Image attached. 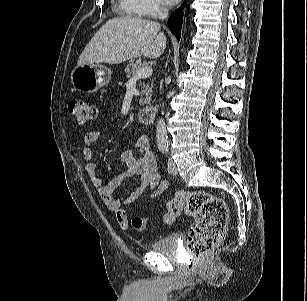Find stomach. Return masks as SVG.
I'll return each instance as SVG.
<instances>
[{"mask_svg":"<svg viewBox=\"0 0 307 301\" xmlns=\"http://www.w3.org/2000/svg\"><path fill=\"white\" fill-rule=\"evenodd\" d=\"M111 79L110 70L100 64L78 65L71 73V82L75 89L93 93L105 86Z\"/></svg>","mask_w":307,"mask_h":301,"instance_id":"obj_1","label":"stomach"}]
</instances>
